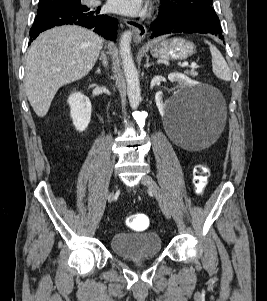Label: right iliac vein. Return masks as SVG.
I'll list each match as a JSON object with an SVG mask.
<instances>
[{"label": "right iliac vein", "mask_w": 267, "mask_h": 301, "mask_svg": "<svg viewBox=\"0 0 267 301\" xmlns=\"http://www.w3.org/2000/svg\"><path fill=\"white\" fill-rule=\"evenodd\" d=\"M113 198H114V191H111V192L108 194V196H107V200H108V201H112Z\"/></svg>", "instance_id": "right-iliac-vein-1"}]
</instances>
